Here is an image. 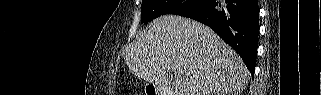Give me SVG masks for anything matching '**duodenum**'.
Returning <instances> with one entry per match:
<instances>
[{"label":"duodenum","mask_w":321,"mask_h":95,"mask_svg":"<svg viewBox=\"0 0 321 95\" xmlns=\"http://www.w3.org/2000/svg\"><path fill=\"white\" fill-rule=\"evenodd\" d=\"M155 95H171L168 90L156 89Z\"/></svg>","instance_id":"duodenum-1"}]
</instances>
